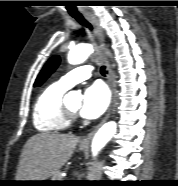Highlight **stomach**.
<instances>
[{
	"label": "stomach",
	"instance_id": "stomach-1",
	"mask_svg": "<svg viewBox=\"0 0 178 186\" xmlns=\"http://www.w3.org/2000/svg\"><path fill=\"white\" fill-rule=\"evenodd\" d=\"M85 148H86V145H84V144H80V145H79V149H80V150H84Z\"/></svg>",
	"mask_w": 178,
	"mask_h": 186
}]
</instances>
